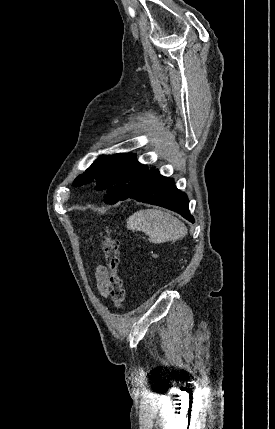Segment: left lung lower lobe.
<instances>
[{"instance_id": "left-lung-lower-lobe-1", "label": "left lung lower lobe", "mask_w": 275, "mask_h": 429, "mask_svg": "<svg viewBox=\"0 0 275 429\" xmlns=\"http://www.w3.org/2000/svg\"><path fill=\"white\" fill-rule=\"evenodd\" d=\"M107 193L108 196L105 199L108 197L119 198V200L133 198L139 202L176 211L190 222H194L193 216L189 213L186 194L175 187L172 178L162 176L155 167L148 168L122 196H119V187L116 186L110 187Z\"/></svg>"}]
</instances>
